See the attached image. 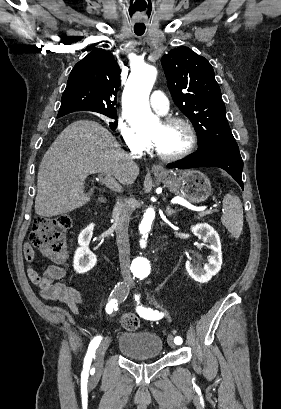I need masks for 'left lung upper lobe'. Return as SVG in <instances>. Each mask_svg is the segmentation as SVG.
<instances>
[{
  "mask_svg": "<svg viewBox=\"0 0 281 409\" xmlns=\"http://www.w3.org/2000/svg\"><path fill=\"white\" fill-rule=\"evenodd\" d=\"M161 63L175 104L193 123L198 149H239L208 60L181 46L164 55Z\"/></svg>",
  "mask_w": 281,
  "mask_h": 409,
  "instance_id": "obj_1",
  "label": "left lung upper lobe"
}]
</instances>
